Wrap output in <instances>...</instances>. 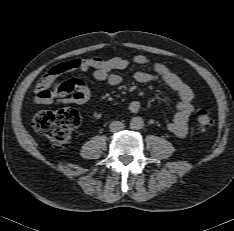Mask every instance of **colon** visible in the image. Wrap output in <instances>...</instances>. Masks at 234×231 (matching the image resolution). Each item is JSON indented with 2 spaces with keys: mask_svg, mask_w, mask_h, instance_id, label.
Returning <instances> with one entry per match:
<instances>
[{
  "mask_svg": "<svg viewBox=\"0 0 234 231\" xmlns=\"http://www.w3.org/2000/svg\"><path fill=\"white\" fill-rule=\"evenodd\" d=\"M78 65L79 63L75 61L62 64L60 71L61 73L69 72L76 69ZM79 123V113L70 108L40 111L33 120L35 130L46 136L56 149H64L70 145L72 132ZM212 124V118L207 110L199 109L196 112L195 125L198 131H206Z\"/></svg>",
  "mask_w": 234,
  "mask_h": 231,
  "instance_id": "colon-1",
  "label": "colon"
}]
</instances>
